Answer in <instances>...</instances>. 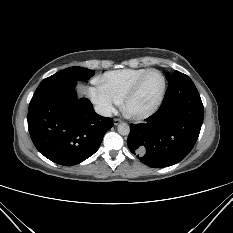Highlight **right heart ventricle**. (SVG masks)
Wrapping results in <instances>:
<instances>
[{
    "label": "right heart ventricle",
    "instance_id": "e07e8e85",
    "mask_svg": "<svg viewBox=\"0 0 233 233\" xmlns=\"http://www.w3.org/2000/svg\"><path fill=\"white\" fill-rule=\"evenodd\" d=\"M147 70L148 68H126L109 71L98 77L96 83L100 84L118 101H121L126 91Z\"/></svg>",
    "mask_w": 233,
    "mask_h": 233
}]
</instances>
